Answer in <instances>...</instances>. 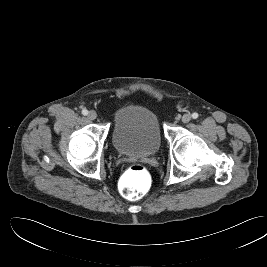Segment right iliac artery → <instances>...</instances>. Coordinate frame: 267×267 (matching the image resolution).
Segmentation results:
<instances>
[{"label": "right iliac artery", "mask_w": 267, "mask_h": 267, "mask_svg": "<svg viewBox=\"0 0 267 267\" xmlns=\"http://www.w3.org/2000/svg\"><path fill=\"white\" fill-rule=\"evenodd\" d=\"M82 114L86 116L88 114V110L87 109H83L82 110Z\"/></svg>", "instance_id": "1"}]
</instances>
